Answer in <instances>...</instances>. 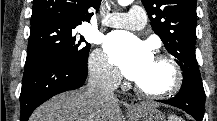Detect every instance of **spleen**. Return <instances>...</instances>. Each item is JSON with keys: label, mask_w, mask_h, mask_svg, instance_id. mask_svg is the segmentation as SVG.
I'll list each match as a JSON object with an SVG mask.
<instances>
[{"label": "spleen", "mask_w": 217, "mask_h": 121, "mask_svg": "<svg viewBox=\"0 0 217 121\" xmlns=\"http://www.w3.org/2000/svg\"><path fill=\"white\" fill-rule=\"evenodd\" d=\"M182 119L176 116H170L169 121H181Z\"/></svg>", "instance_id": "obj_1"}]
</instances>
